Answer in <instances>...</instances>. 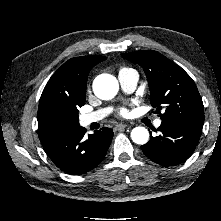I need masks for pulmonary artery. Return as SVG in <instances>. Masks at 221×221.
<instances>
[{
  "label": "pulmonary artery",
  "instance_id": "obj_1",
  "mask_svg": "<svg viewBox=\"0 0 221 221\" xmlns=\"http://www.w3.org/2000/svg\"><path fill=\"white\" fill-rule=\"evenodd\" d=\"M138 73L133 69H121L118 74V80L121 85V88L126 93H132L137 86L138 83ZM110 112L109 108H104L97 110L92 113H88L81 116V124L83 126H87L93 122H97L107 116ZM161 120L157 119L154 122L156 127L161 125Z\"/></svg>",
  "mask_w": 221,
  "mask_h": 221
}]
</instances>
